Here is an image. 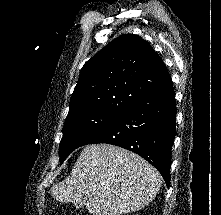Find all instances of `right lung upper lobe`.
I'll return each mask as SVG.
<instances>
[{"mask_svg": "<svg viewBox=\"0 0 221 215\" xmlns=\"http://www.w3.org/2000/svg\"><path fill=\"white\" fill-rule=\"evenodd\" d=\"M169 80L164 62L145 40L122 35L85 63L68 114L94 109L122 114Z\"/></svg>", "mask_w": 221, "mask_h": 215, "instance_id": "right-lung-upper-lobe-1", "label": "right lung upper lobe"}]
</instances>
